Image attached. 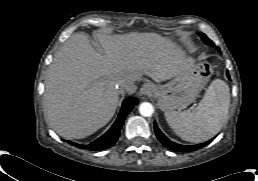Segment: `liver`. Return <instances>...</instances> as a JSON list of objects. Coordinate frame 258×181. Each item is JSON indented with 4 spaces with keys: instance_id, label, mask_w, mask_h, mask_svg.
I'll list each match as a JSON object with an SVG mask.
<instances>
[{
    "instance_id": "obj_1",
    "label": "liver",
    "mask_w": 258,
    "mask_h": 181,
    "mask_svg": "<svg viewBox=\"0 0 258 181\" xmlns=\"http://www.w3.org/2000/svg\"><path fill=\"white\" fill-rule=\"evenodd\" d=\"M104 54L85 34L72 35L50 64L43 97L44 112L62 137L85 138L113 117L124 80L147 75L156 82L185 75L194 60L156 33H97Z\"/></svg>"
}]
</instances>
